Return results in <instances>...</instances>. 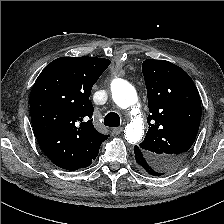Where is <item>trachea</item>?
<instances>
[{"label":"trachea","instance_id":"3493384b","mask_svg":"<svg viewBox=\"0 0 224 224\" xmlns=\"http://www.w3.org/2000/svg\"><path fill=\"white\" fill-rule=\"evenodd\" d=\"M104 125L109 127H118L120 125V117L115 112L108 113L104 118Z\"/></svg>","mask_w":224,"mask_h":224}]
</instances>
